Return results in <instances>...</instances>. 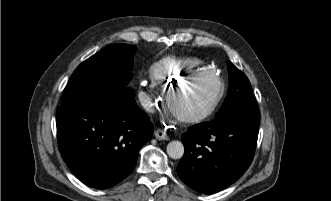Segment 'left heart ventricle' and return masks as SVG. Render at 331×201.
Listing matches in <instances>:
<instances>
[{"label":"left heart ventricle","mask_w":331,"mask_h":201,"mask_svg":"<svg viewBox=\"0 0 331 201\" xmlns=\"http://www.w3.org/2000/svg\"><path fill=\"white\" fill-rule=\"evenodd\" d=\"M217 88L218 83L211 75L177 88L172 95L174 108L183 114L193 113L210 101Z\"/></svg>","instance_id":"obj_1"}]
</instances>
